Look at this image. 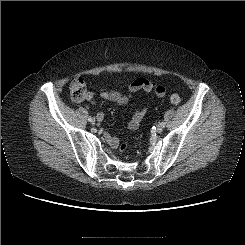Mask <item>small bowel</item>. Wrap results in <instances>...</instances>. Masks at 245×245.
I'll list each match as a JSON object with an SVG mask.
<instances>
[{
    "mask_svg": "<svg viewBox=\"0 0 245 245\" xmlns=\"http://www.w3.org/2000/svg\"><path fill=\"white\" fill-rule=\"evenodd\" d=\"M144 80L145 79H138L133 84H131V86L129 87L128 93L126 95H123V94H121L117 91H114V90L103 89L100 92V96L107 101H111V102L117 103L119 105H125V104L129 103L133 99L134 95L140 90H143V91L148 92V93L153 92L155 94V96H157V97H163L165 95V89H163V91H158V90H156L155 87H153L151 82H149L148 80H147L148 85L142 84V82ZM87 98L90 101H92L93 95L90 93L87 95ZM149 108H150V104H146L142 108L136 109L134 111L133 116H132V118L128 124V127L131 130H136L140 126V124H141L143 118L145 117V115L147 114ZM97 119L99 121H101L103 119V114L99 113L97 115ZM104 137L111 147H116L118 145L117 138L112 137L108 134H105Z\"/></svg>",
    "mask_w": 245,
    "mask_h": 245,
    "instance_id": "1",
    "label": "small bowel"
}]
</instances>
